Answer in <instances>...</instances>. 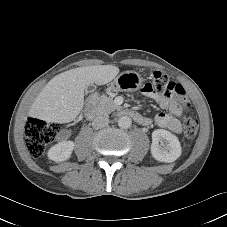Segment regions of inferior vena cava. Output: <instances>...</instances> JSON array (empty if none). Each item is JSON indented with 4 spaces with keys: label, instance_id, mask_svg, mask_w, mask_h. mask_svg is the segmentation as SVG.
Returning a JSON list of instances; mask_svg holds the SVG:
<instances>
[{
    "label": "inferior vena cava",
    "instance_id": "obj_1",
    "mask_svg": "<svg viewBox=\"0 0 227 227\" xmlns=\"http://www.w3.org/2000/svg\"><path fill=\"white\" fill-rule=\"evenodd\" d=\"M108 124H109L108 117L97 116L92 122V127L94 129H100V128H103V127L107 126Z\"/></svg>",
    "mask_w": 227,
    "mask_h": 227
}]
</instances>
